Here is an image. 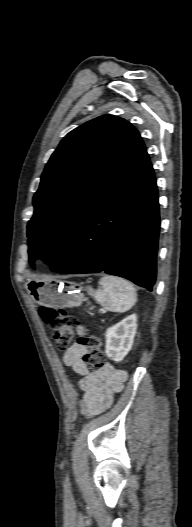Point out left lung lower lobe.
<instances>
[{"label": "left lung lower lobe", "instance_id": "obj_1", "mask_svg": "<svg viewBox=\"0 0 192 527\" xmlns=\"http://www.w3.org/2000/svg\"><path fill=\"white\" fill-rule=\"evenodd\" d=\"M159 227L156 180L145 150L109 189L51 270L104 271L151 291Z\"/></svg>", "mask_w": 192, "mask_h": 527}]
</instances>
